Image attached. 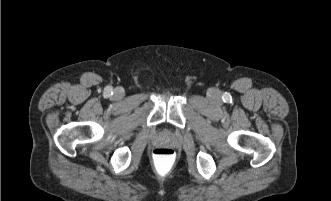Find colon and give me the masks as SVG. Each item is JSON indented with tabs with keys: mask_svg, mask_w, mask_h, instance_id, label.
<instances>
[{
	"mask_svg": "<svg viewBox=\"0 0 331 201\" xmlns=\"http://www.w3.org/2000/svg\"><path fill=\"white\" fill-rule=\"evenodd\" d=\"M152 162L159 176H167L173 172L176 166L177 154L175 150L170 147H157L153 150Z\"/></svg>",
	"mask_w": 331,
	"mask_h": 201,
	"instance_id": "colon-1",
	"label": "colon"
}]
</instances>
